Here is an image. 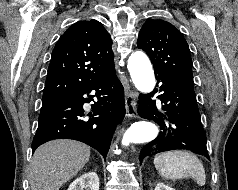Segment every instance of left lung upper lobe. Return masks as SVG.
I'll list each match as a JSON object with an SVG mask.
<instances>
[{"instance_id":"left-lung-upper-lobe-1","label":"left lung upper lobe","mask_w":238,"mask_h":190,"mask_svg":"<svg viewBox=\"0 0 238 190\" xmlns=\"http://www.w3.org/2000/svg\"><path fill=\"white\" fill-rule=\"evenodd\" d=\"M137 45L150 57L155 73H166L194 83L189 46L171 23L148 19L139 32Z\"/></svg>"}]
</instances>
